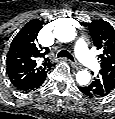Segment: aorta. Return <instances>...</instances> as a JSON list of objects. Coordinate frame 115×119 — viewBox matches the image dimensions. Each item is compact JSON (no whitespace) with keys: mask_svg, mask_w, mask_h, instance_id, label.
Here are the masks:
<instances>
[{"mask_svg":"<svg viewBox=\"0 0 115 119\" xmlns=\"http://www.w3.org/2000/svg\"><path fill=\"white\" fill-rule=\"evenodd\" d=\"M54 35L60 42H71L76 36V29L69 23L58 24L54 29ZM76 80L79 85H86L91 80V74L87 70H81L76 74Z\"/></svg>","mask_w":115,"mask_h":119,"instance_id":"1","label":"aorta"}]
</instances>
